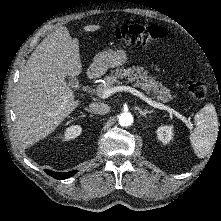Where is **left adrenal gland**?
Segmentation results:
<instances>
[{"instance_id":"a2214340","label":"left adrenal gland","mask_w":221,"mask_h":221,"mask_svg":"<svg viewBox=\"0 0 221 221\" xmlns=\"http://www.w3.org/2000/svg\"><path fill=\"white\" fill-rule=\"evenodd\" d=\"M154 111L153 110H142V109H139V113L141 114V116H144L146 117L147 114H150V113H153Z\"/></svg>"}]
</instances>
